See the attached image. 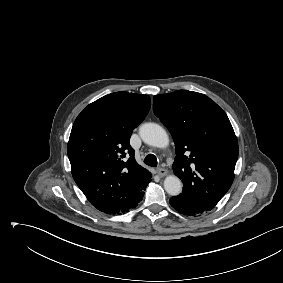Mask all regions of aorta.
<instances>
[{
  "label": "aorta",
  "instance_id": "obj_1",
  "mask_svg": "<svg viewBox=\"0 0 283 283\" xmlns=\"http://www.w3.org/2000/svg\"><path fill=\"white\" fill-rule=\"evenodd\" d=\"M142 140L151 146L165 148L169 144V137L166 131L156 123H145L139 129ZM165 191L172 196L178 195L182 191V183L175 175H169L164 180Z\"/></svg>",
  "mask_w": 283,
  "mask_h": 283
}]
</instances>
